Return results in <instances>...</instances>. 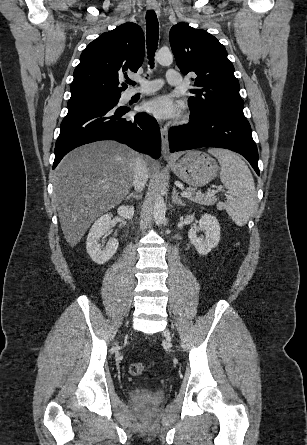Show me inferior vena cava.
<instances>
[{
  "instance_id": "602c4592",
  "label": "inferior vena cava",
  "mask_w": 307,
  "mask_h": 445,
  "mask_svg": "<svg viewBox=\"0 0 307 445\" xmlns=\"http://www.w3.org/2000/svg\"><path fill=\"white\" fill-rule=\"evenodd\" d=\"M134 176H133V184L135 186V190L141 192L145 186V182L148 178L145 160L141 154H138L135 164H134Z\"/></svg>"
}]
</instances>
